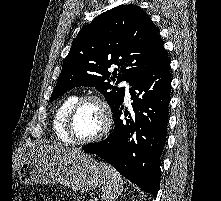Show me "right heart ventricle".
<instances>
[{
  "mask_svg": "<svg viewBox=\"0 0 221 201\" xmlns=\"http://www.w3.org/2000/svg\"><path fill=\"white\" fill-rule=\"evenodd\" d=\"M78 99L77 95L67 96L58 106L54 119L53 129L57 138L65 143H72L66 132V118L72 105Z\"/></svg>",
  "mask_w": 221,
  "mask_h": 201,
  "instance_id": "right-heart-ventricle-1",
  "label": "right heart ventricle"
}]
</instances>
